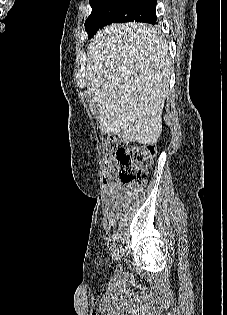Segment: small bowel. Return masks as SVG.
<instances>
[{"mask_svg":"<svg viewBox=\"0 0 227 315\" xmlns=\"http://www.w3.org/2000/svg\"><path fill=\"white\" fill-rule=\"evenodd\" d=\"M112 205L118 209L127 208L137 197L139 190L130 186H122L119 183H114L108 190ZM119 213H115L112 210L109 213V220L113 222Z\"/></svg>","mask_w":227,"mask_h":315,"instance_id":"1","label":"small bowel"}]
</instances>
